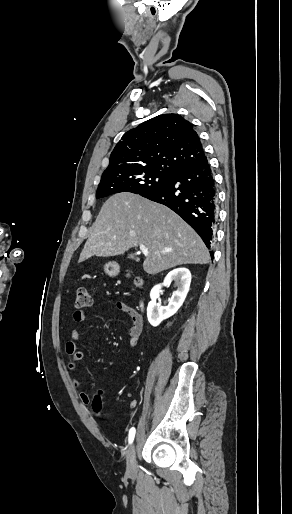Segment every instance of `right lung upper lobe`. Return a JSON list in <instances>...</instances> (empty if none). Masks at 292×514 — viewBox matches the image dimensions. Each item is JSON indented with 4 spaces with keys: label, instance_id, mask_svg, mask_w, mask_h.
Instances as JSON below:
<instances>
[{
    "label": "right lung upper lobe",
    "instance_id": "right-lung-upper-lobe-1",
    "mask_svg": "<svg viewBox=\"0 0 292 514\" xmlns=\"http://www.w3.org/2000/svg\"><path fill=\"white\" fill-rule=\"evenodd\" d=\"M110 155L102 179L145 172H175L205 158L193 125L178 114L147 120L122 136Z\"/></svg>",
    "mask_w": 292,
    "mask_h": 514
}]
</instances>
